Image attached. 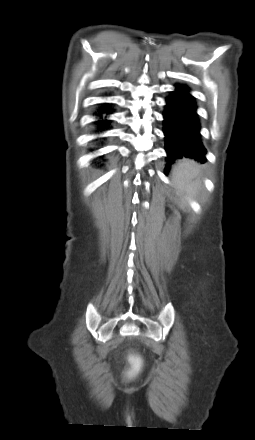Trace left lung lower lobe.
Wrapping results in <instances>:
<instances>
[{
    "instance_id": "left-lung-lower-lobe-1",
    "label": "left lung lower lobe",
    "mask_w": 255,
    "mask_h": 440,
    "mask_svg": "<svg viewBox=\"0 0 255 440\" xmlns=\"http://www.w3.org/2000/svg\"><path fill=\"white\" fill-rule=\"evenodd\" d=\"M176 89L166 98L163 113V132L167 152L165 173L178 159L191 158L200 163L206 161V149L201 141L200 120L194 97L186 85H175Z\"/></svg>"
}]
</instances>
